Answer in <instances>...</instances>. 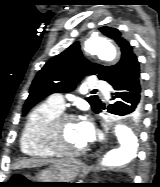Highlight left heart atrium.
<instances>
[{
    "instance_id": "39dd6f15",
    "label": "left heart atrium",
    "mask_w": 160,
    "mask_h": 187,
    "mask_svg": "<svg viewBox=\"0 0 160 187\" xmlns=\"http://www.w3.org/2000/svg\"><path fill=\"white\" fill-rule=\"evenodd\" d=\"M78 125L80 133L85 142L91 141L94 136V128L92 123L90 121H79Z\"/></svg>"
}]
</instances>
